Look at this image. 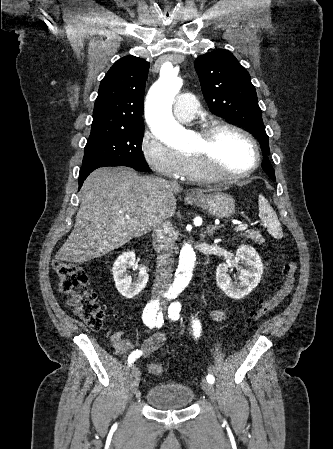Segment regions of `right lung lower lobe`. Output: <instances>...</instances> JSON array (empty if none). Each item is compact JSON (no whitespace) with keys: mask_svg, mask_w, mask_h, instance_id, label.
I'll return each instance as SVG.
<instances>
[{"mask_svg":"<svg viewBox=\"0 0 333 449\" xmlns=\"http://www.w3.org/2000/svg\"><path fill=\"white\" fill-rule=\"evenodd\" d=\"M97 168H99L98 166H94V167H82L81 169H80V174H79V188L82 186V184H83V182H84V180L87 178V176L92 172V171H94L95 169H97ZM134 169H137V170H141V171H150V169L147 167V168H134Z\"/></svg>","mask_w":333,"mask_h":449,"instance_id":"1","label":"right lung lower lobe"}]
</instances>
